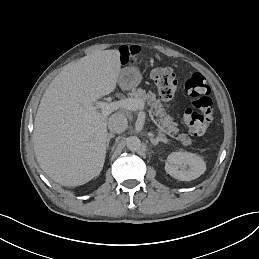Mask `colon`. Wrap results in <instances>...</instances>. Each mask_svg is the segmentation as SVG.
Masks as SVG:
<instances>
[{"label": "colon", "mask_w": 259, "mask_h": 259, "mask_svg": "<svg viewBox=\"0 0 259 259\" xmlns=\"http://www.w3.org/2000/svg\"><path fill=\"white\" fill-rule=\"evenodd\" d=\"M151 78L163 99L174 96L178 85L171 68L156 66L151 70ZM184 87L192 99V107L184 110L183 121L192 135H203L214 119L210 87L201 73H194Z\"/></svg>", "instance_id": "1"}]
</instances>
